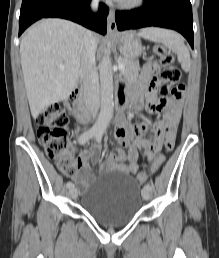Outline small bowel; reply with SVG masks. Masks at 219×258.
I'll return each mask as SVG.
<instances>
[{
  "mask_svg": "<svg viewBox=\"0 0 219 258\" xmlns=\"http://www.w3.org/2000/svg\"><path fill=\"white\" fill-rule=\"evenodd\" d=\"M159 72V65L150 61L147 62L142 70L139 81L133 87V100L131 115L138 113L143 107L142 93L146 91L147 104L146 109L152 113L164 112L165 106L168 110L164 112V117L161 121L154 124V138L148 140L142 138L141 135L148 129V123L142 121L132 126L124 117L119 114L114 123L115 134L118 139L120 148L112 152L107 159L100 165V171L120 170L127 174H134L138 170V155L142 151L151 162L153 156L160 150L163 143L167 150H172L175 143L176 130L180 119V114L183 106V98L176 99L171 97L167 101H162L157 98L153 81ZM130 89H122L119 94L123 97L129 95ZM99 145H94L89 150H82L79 153L76 170L72 175L74 181L86 188L91 181L89 161L93 164L97 162L99 157ZM148 177V176H145Z\"/></svg>",
  "mask_w": 219,
  "mask_h": 258,
  "instance_id": "small-bowel-1",
  "label": "small bowel"
}]
</instances>
